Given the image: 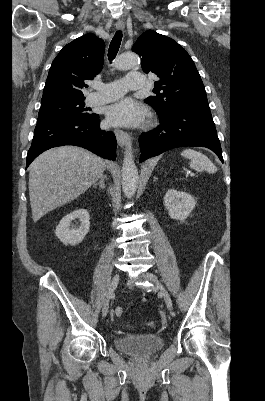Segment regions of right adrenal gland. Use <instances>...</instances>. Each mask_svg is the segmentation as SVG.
<instances>
[{
  "label": "right adrenal gland",
  "instance_id": "1",
  "mask_svg": "<svg viewBox=\"0 0 265 401\" xmlns=\"http://www.w3.org/2000/svg\"><path fill=\"white\" fill-rule=\"evenodd\" d=\"M105 178H107V176H100V180L99 182H94V184H92L93 188H97V186H100V188H105V184H104V180Z\"/></svg>",
  "mask_w": 265,
  "mask_h": 401
}]
</instances>
